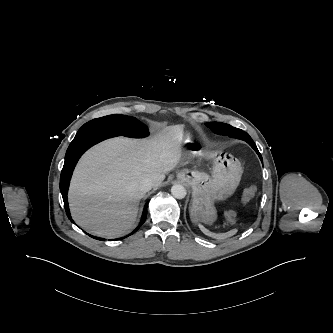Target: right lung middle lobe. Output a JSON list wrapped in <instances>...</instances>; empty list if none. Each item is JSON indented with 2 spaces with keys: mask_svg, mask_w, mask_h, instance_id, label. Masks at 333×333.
Masks as SVG:
<instances>
[{
  "mask_svg": "<svg viewBox=\"0 0 333 333\" xmlns=\"http://www.w3.org/2000/svg\"><path fill=\"white\" fill-rule=\"evenodd\" d=\"M90 130H104L115 132L118 135L127 137L140 138L149 134L146 125L142 124L134 117L125 115H109L97 119H93L85 123L78 133Z\"/></svg>",
  "mask_w": 333,
  "mask_h": 333,
  "instance_id": "dd1d6c3e",
  "label": "right lung middle lobe"
}]
</instances>
